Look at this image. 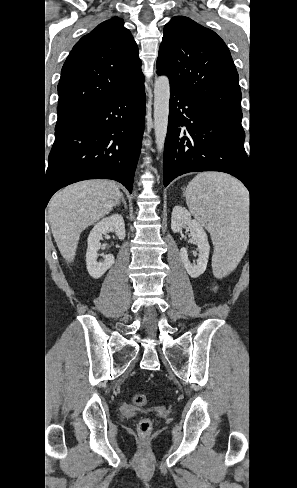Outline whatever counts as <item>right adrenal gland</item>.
I'll use <instances>...</instances> for the list:
<instances>
[{
  "mask_svg": "<svg viewBox=\"0 0 297 488\" xmlns=\"http://www.w3.org/2000/svg\"><path fill=\"white\" fill-rule=\"evenodd\" d=\"M121 203H123L124 204V208L127 209V203H126V200L124 199L123 195L121 197V201L118 203V206H120Z\"/></svg>",
  "mask_w": 297,
  "mask_h": 488,
  "instance_id": "obj_1",
  "label": "right adrenal gland"
}]
</instances>
